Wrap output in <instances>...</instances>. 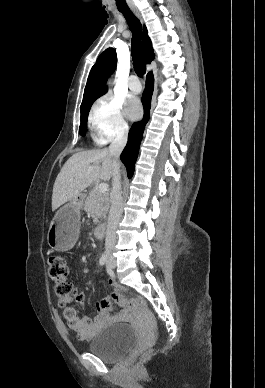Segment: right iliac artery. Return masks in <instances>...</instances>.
<instances>
[{"label": "right iliac artery", "instance_id": "82829eb1", "mask_svg": "<svg viewBox=\"0 0 265 388\" xmlns=\"http://www.w3.org/2000/svg\"><path fill=\"white\" fill-rule=\"evenodd\" d=\"M106 262H107V257H106L105 254H102V256L100 257V260H99V264H100L101 266H103V265L106 264Z\"/></svg>", "mask_w": 265, "mask_h": 388}]
</instances>
